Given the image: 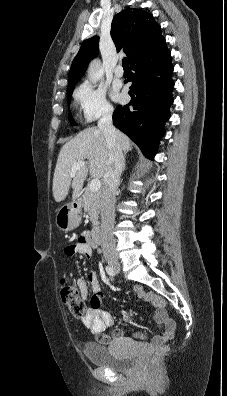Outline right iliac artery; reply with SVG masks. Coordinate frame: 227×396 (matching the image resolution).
<instances>
[{"label": "right iliac artery", "instance_id": "82829eb1", "mask_svg": "<svg viewBox=\"0 0 227 396\" xmlns=\"http://www.w3.org/2000/svg\"><path fill=\"white\" fill-rule=\"evenodd\" d=\"M106 272H107V274L110 275V276H115V271H114V269H113L112 267H110V266H106Z\"/></svg>", "mask_w": 227, "mask_h": 396}]
</instances>
